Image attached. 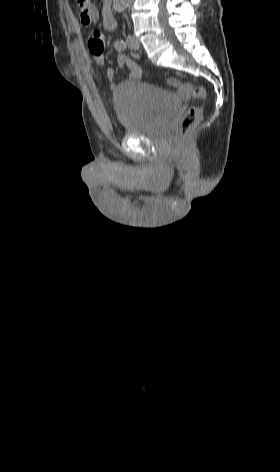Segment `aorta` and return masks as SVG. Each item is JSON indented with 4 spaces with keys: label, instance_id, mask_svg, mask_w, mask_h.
<instances>
[{
    "label": "aorta",
    "instance_id": "obj_1",
    "mask_svg": "<svg viewBox=\"0 0 280 472\" xmlns=\"http://www.w3.org/2000/svg\"><path fill=\"white\" fill-rule=\"evenodd\" d=\"M130 3V0H114V8L118 11L121 12L124 9L127 8L128 4Z\"/></svg>",
    "mask_w": 280,
    "mask_h": 472
}]
</instances>
